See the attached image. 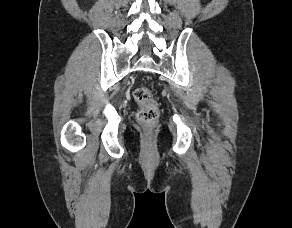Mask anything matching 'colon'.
Wrapping results in <instances>:
<instances>
[{
    "label": "colon",
    "mask_w": 292,
    "mask_h": 228,
    "mask_svg": "<svg viewBox=\"0 0 292 228\" xmlns=\"http://www.w3.org/2000/svg\"><path fill=\"white\" fill-rule=\"evenodd\" d=\"M133 95L140 107L138 121L146 128L154 127L159 118V108L153 93L148 88L139 87L134 90Z\"/></svg>",
    "instance_id": "colon-1"
}]
</instances>
